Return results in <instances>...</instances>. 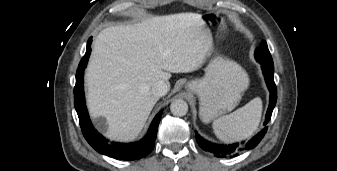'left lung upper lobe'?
Segmentation results:
<instances>
[{
    "instance_id": "1",
    "label": "left lung upper lobe",
    "mask_w": 337,
    "mask_h": 171,
    "mask_svg": "<svg viewBox=\"0 0 337 171\" xmlns=\"http://www.w3.org/2000/svg\"><path fill=\"white\" fill-rule=\"evenodd\" d=\"M254 55L258 62L273 64L272 57L270 55V52L267 47V43L265 41L261 42L259 47L256 49Z\"/></svg>"
}]
</instances>
